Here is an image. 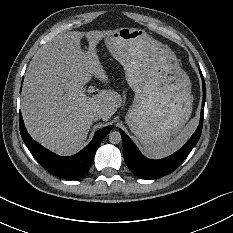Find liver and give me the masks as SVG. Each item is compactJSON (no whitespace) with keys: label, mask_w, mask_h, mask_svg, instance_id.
<instances>
[{"label":"liver","mask_w":233,"mask_h":233,"mask_svg":"<svg viewBox=\"0 0 233 233\" xmlns=\"http://www.w3.org/2000/svg\"><path fill=\"white\" fill-rule=\"evenodd\" d=\"M110 30L65 32L43 46L32 58L24 76L21 113L31 137L60 156L77 153L92 127L89 118L99 112L110 120L122 101L112 89L87 97L85 86L92 74L105 79L94 46ZM85 35L89 48L80 46Z\"/></svg>","instance_id":"liver-1"}]
</instances>
